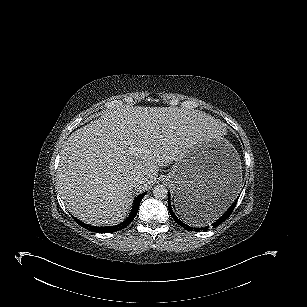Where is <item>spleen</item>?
<instances>
[{
    "label": "spleen",
    "instance_id": "1",
    "mask_svg": "<svg viewBox=\"0 0 307 307\" xmlns=\"http://www.w3.org/2000/svg\"><path fill=\"white\" fill-rule=\"evenodd\" d=\"M226 208H209L207 210H203L192 216L190 219H185L193 226L202 225L205 222H209L215 220L219 215H221Z\"/></svg>",
    "mask_w": 307,
    "mask_h": 307
}]
</instances>
